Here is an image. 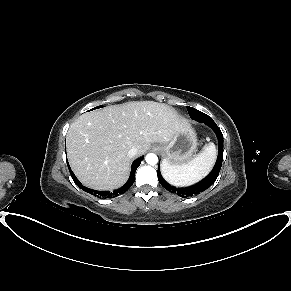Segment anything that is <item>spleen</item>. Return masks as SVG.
I'll return each mask as SVG.
<instances>
[{
	"instance_id": "1",
	"label": "spleen",
	"mask_w": 291,
	"mask_h": 291,
	"mask_svg": "<svg viewBox=\"0 0 291 291\" xmlns=\"http://www.w3.org/2000/svg\"><path fill=\"white\" fill-rule=\"evenodd\" d=\"M216 159V148L209 144L190 162L181 165H172L167 161L161 164V173L164 179L176 187H185L197 183L212 169Z\"/></svg>"
}]
</instances>
